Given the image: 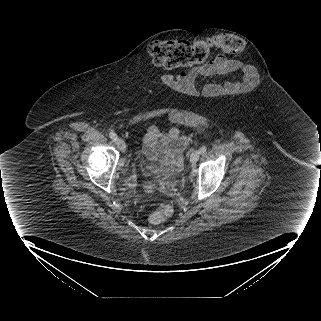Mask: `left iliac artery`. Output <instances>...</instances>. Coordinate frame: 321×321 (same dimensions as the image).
I'll use <instances>...</instances> for the list:
<instances>
[{"label":"left iliac artery","mask_w":321,"mask_h":321,"mask_svg":"<svg viewBox=\"0 0 321 321\" xmlns=\"http://www.w3.org/2000/svg\"><path fill=\"white\" fill-rule=\"evenodd\" d=\"M206 150H207V147L206 146H202L201 148H200V153H205L206 152Z\"/></svg>","instance_id":"1"}]
</instances>
